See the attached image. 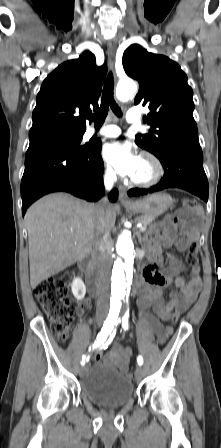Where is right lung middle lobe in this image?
Listing matches in <instances>:
<instances>
[{"mask_svg":"<svg viewBox=\"0 0 221 448\" xmlns=\"http://www.w3.org/2000/svg\"><path fill=\"white\" fill-rule=\"evenodd\" d=\"M82 138H83V134L68 136V137H63V138L57 139V140L52 141L47 144H70L82 151H85V150H88L89 148H91V146L88 144L81 145ZM47 144H45V145H47Z\"/></svg>","mask_w":221,"mask_h":448,"instance_id":"right-lung-middle-lobe-1","label":"right lung middle lobe"}]
</instances>
